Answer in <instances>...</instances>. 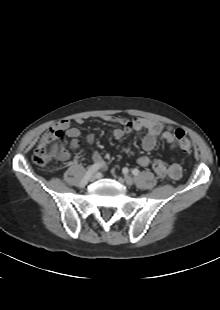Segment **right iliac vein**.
Masks as SVG:
<instances>
[{"label": "right iliac vein", "mask_w": 220, "mask_h": 310, "mask_svg": "<svg viewBox=\"0 0 220 310\" xmlns=\"http://www.w3.org/2000/svg\"><path fill=\"white\" fill-rule=\"evenodd\" d=\"M96 178H97L96 174H92V175L89 177L88 180H89L90 182H93V181L96 180Z\"/></svg>", "instance_id": "1"}]
</instances>
